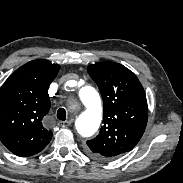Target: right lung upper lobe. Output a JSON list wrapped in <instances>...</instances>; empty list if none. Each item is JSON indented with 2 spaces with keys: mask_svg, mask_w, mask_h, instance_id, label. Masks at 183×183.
I'll list each match as a JSON object with an SVG mask.
<instances>
[{
  "mask_svg": "<svg viewBox=\"0 0 183 183\" xmlns=\"http://www.w3.org/2000/svg\"><path fill=\"white\" fill-rule=\"evenodd\" d=\"M59 69L48 60L30 61L0 89V140L17 156L37 154L52 138L42 120L50 109L48 88Z\"/></svg>",
  "mask_w": 183,
  "mask_h": 183,
  "instance_id": "right-lung-upper-lobe-1",
  "label": "right lung upper lobe"
}]
</instances>
